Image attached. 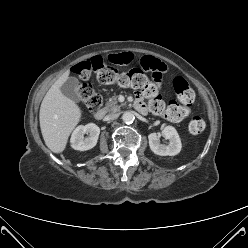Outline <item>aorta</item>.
<instances>
[{
    "label": "aorta",
    "instance_id": "762f6f07",
    "mask_svg": "<svg viewBox=\"0 0 248 248\" xmlns=\"http://www.w3.org/2000/svg\"><path fill=\"white\" fill-rule=\"evenodd\" d=\"M134 119H135V116L131 111H126L122 115V120L127 124L133 123Z\"/></svg>",
    "mask_w": 248,
    "mask_h": 248
}]
</instances>
